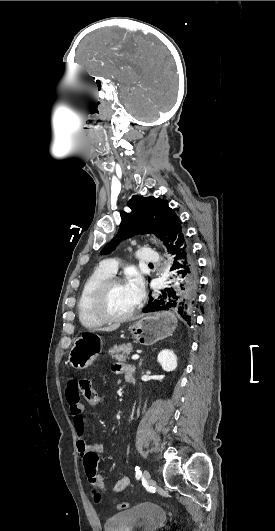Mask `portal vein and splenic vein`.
Wrapping results in <instances>:
<instances>
[{
  "label": "portal vein and splenic vein",
  "mask_w": 275,
  "mask_h": 531,
  "mask_svg": "<svg viewBox=\"0 0 275 531\" xmlns=\"http://www.w3.org/2000/svg\"><path fill=\"white\" fill-rule=\"evenodd\" d=\"M131 359H133V361H135V359H139V355H133V357H131Z\"/></svg>",
  "instance_id": "1"
}]
</instances>
